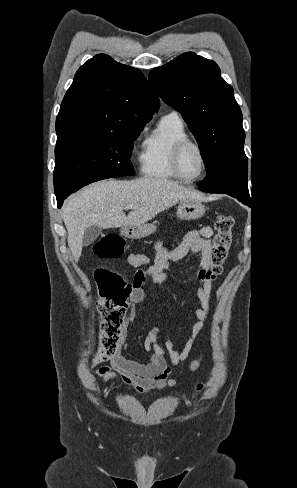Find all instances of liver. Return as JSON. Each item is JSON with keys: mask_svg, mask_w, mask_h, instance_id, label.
Instances as JSON below:
<instances>
[{"mask_svg": "<svg viewBox=\"0 0 297 488\" xmlns=\"http://www.w3.org/2000/svg\"><path fill=\"white\" fill-rule=\"evenodd\" d=\"M204 196L177 182L153 177L135 180L109 179L83 188L70 196L62 208L68 245L76 262L82 253L83 236L90 226L103 229L139 226L178 202L204 200ZM128 204L138 207L126 216Z\"/></svg>", "mask_w": 297, "mask_h": 488, "instance_id": "liver-1", "label": "liver"}]
</instances>
